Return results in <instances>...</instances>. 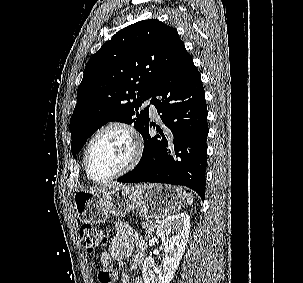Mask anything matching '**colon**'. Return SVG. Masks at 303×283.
Masks as SVG:
<instances>
[{
    "mask_svg": "<svg viewBox=\"0 0 303 283\" xmlns=\"http://www.w3.org/2000/svg\"><path fill=\"white\" fill-rule=\"evenodd\" d=\"M80 234L84 248L90 254L96 253L107 243V232L92 225L83 226ZM98 278L100 283H115L117 272L114 269H104L100 271Z\"/></svg>",
    "mask_w": 303,
    "mask_h": 283,
    "instance_id": "colon-1",
    "label": "colon"
}]
</instances>
